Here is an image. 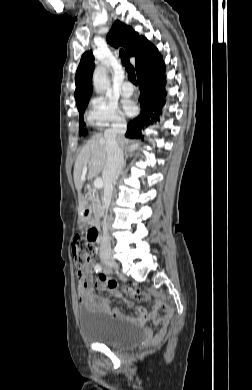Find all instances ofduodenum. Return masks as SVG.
Listing matches in <instances>:
<instances>
[{"mask_svg":"<svg viewBox=\"0 0 252 390\" xmlns=\"http://www.w3.org/2000/svg\"><path fill=\"white\" fill-rule=\"evenodd\" d=\"M91 217H92V210L91 208L89 207H86L84 208V210L82 211V216H81V220L83 222L84 225H89L90 222H91ZM98 223H94L93 227L91 229L94 230V233H95V236H94V242H97L99 241V229H98Z\"/></svg>","mask_w":252,"mask_h":390,"instance_id":"1","label":"duodenum"}]
</instances>
